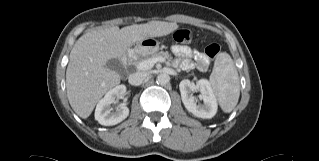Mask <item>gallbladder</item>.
<instances>
[{
    "instance_id": "1",
    "label": "gallbladder",
    "mask_w": 319,
    "mask_h": 161,
    "mask_svg": "<svg viewBox=\"0 0 319 161\" xmlns=\"http://www.w3.org/2000/svg\"><path fill=\"white\" fill-rule=\"evenodd\" d=\"M106 67L110 70H114L116 72L122 73L123 64L118 59H111L107 62Z\"/></svg>"
}]
</instances>
